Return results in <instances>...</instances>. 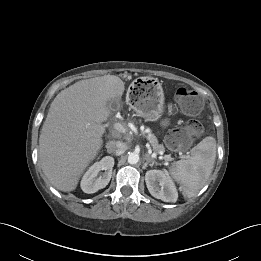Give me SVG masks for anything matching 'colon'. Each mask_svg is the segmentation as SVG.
Returning a JSON list of instances; mask_svg holds the SVG:
<instances>
[{
    "instance_id": "1",
    "label": "colon",
    "mask_w": 261,
    "mask_h": 261,
    "mask_svg": "<svg viewBox=\"0 0 261 261\" xmlns=\"http://www.w3.org/2000/svg\"><path fill=\"white\" fill-rule=\"evenodd\" d=\"M175 98L180 109L187 115L198 116L202 109V99L197 92L181 87L175 93ZM204 124L197 118L190 119L183 127L172 130L167 136V143L173 150L186 148L194 137L202 134Z\"/></svg>"
}]
</instances>
